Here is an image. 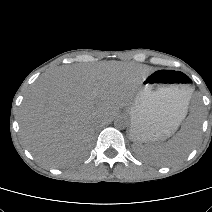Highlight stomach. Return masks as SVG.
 <instances>
[{
  "label": "stomach",
  "mask_w": 212,
  "mask_h": 212,
  "mask_svg": "<svg viewBox=\"0 0 212 212\" xmlns=\"http://www.w3.org/2000/svg\"><path fill=\"white\" fill-rule=\"evenodd\" d=\"M193 89L180 71L156 70L142 81L130 107V138L137 144L168 138L182 121Z\"/></svg>",
  "instance_id": "0dacf381"
}]
</instances>
